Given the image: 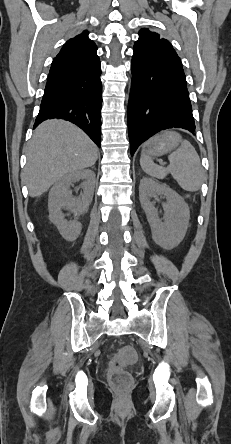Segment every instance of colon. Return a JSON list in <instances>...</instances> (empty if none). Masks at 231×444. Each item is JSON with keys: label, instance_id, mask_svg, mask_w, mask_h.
<instances>
[{"label": "colon", "instance_id": "obj_1", "mask_svg": "<svg viewBox=\"0 0 231 444\" xmlns=\"http://www.w3.org/2000/svg\"><path fill=\"white\" fill-rule=\"evenodd\" d=\"M136 359V352L132 346L124 345L118 349L113 356L109 366V381L113 388L125 393L132 386L133 380L130 373L126 370V365Z\"/></svg>", "mask_w": 231, "mask_h": 444}]
</instances>
